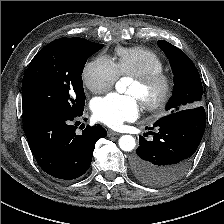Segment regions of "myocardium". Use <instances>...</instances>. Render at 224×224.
I'll use <instances>...</instances> for the list:
<instances>
[{
	"mask_svg": "<svg viewBox=\"0 0 224 224\" xmlns=\"http://www.w3.org/2000/svg\"><path fill=\"white\" fill-rule=\"evenodd\" d=\"M134 79L145 91L142 101L147 110L163 108L173 95L174 79L164 70L150 72Z\"/></svg>",
	"mask_w": 224,
	"mask_h": 224,
	"instance_id": "f54148a6",
	"label": "myocardium"
}]
</instances>
